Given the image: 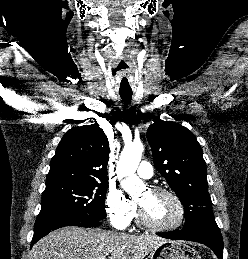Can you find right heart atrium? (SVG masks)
Instances as JSON below:
<instances>
[{
    "instance_id": "right-heart-atrium-1",
    "label": "right heart atrium",
    "mask_w": 248,
    "mask_h": 259,
    "mask_svg": "<svg viewBox=\"0 0 248 259\" xmlns=\"http://www.w3.org/2000/svg\"><path fill=\"white\" fill-rule=\"evenodd\" d=\"M105 205L109 221L114 228L123 230L131 224L136 206L121 190L110 189Z\"/></svg>"
}]
</instances>
